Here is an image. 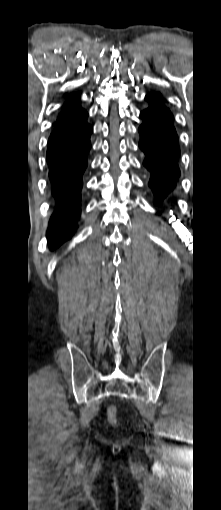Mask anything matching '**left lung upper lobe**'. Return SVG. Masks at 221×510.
Masks as SVG:
<instances>
[{"mask_svg":"<svg viewBox=\"0 0 221 510\" xmlns=\"http://www.w3.org/2000/svg\"><path fill=\"white\" fill-rule=\"evenodd\" d=\"M145 99L149 102L150 106L144 110V112L148 113L163 127L175 131L173 126L174 117L172 113L164 106L161 94H148Z\"/></svg>","mask_w":221,"mask_h":510,"instance_id":"1","label":"left lung upper lobe"}]
</instances>
